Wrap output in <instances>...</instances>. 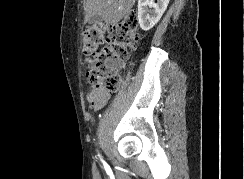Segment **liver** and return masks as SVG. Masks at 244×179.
<instances>
[{
    "mask_svg": "<svg viewBox=\"0 0 244 179\" xmlns=\"http://www.w3.org/2000/svg\"><path fill=\"white\" fill-rule=\"evenodd\" d=\"M136 0H84L85 22L100 16L107 24H116L131 12Z\"/></svg>",
    "mask_w": 244,
    "mask_h": 179,
    "instance_id": "obj_1",
    "label": "liver"
}]
</instances>
